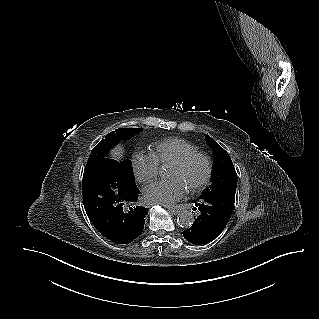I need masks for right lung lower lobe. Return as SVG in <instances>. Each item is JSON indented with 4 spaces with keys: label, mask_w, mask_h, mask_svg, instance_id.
Listing matches in <instances>:
<instances>
[{
    "label": "right lung lower lobe",
    "mask_w": 319,
    "mask_h": 319,
    "mask_svg": "<svg viewBox=\"0 0 319 319\" xmlns=\"http://www.w3.org/2000/svg\"><path fill=\"white\" fill-rule=\"evenodd\" d=\"M82 192L90 221L106 238L117 244H128L142 233L149 209L136 205L140 191L131 180L125 162L89 159Z\"/></svg>",
    "instance_id": "98d812e1"
}]
</instances>
